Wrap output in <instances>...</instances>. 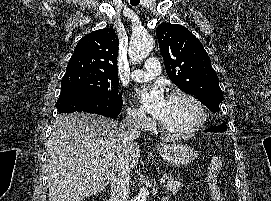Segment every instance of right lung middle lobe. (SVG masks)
Here are the masks:
<instances>
[{"instance_id": "1", "label": "right lung middle lobe", "mask_w": 271, "mask_h": 201, "mask_svg": "<svg viewBox=\"0 0 271 201\" xmlns=\"http://www.w3.org/2000/svg\"><path fill=\"white\" fill-rule=\"evenodd\" d=\"M118 75L84 70L68 71L61 81L60 96L82 95L90 98L114 99L118 93Z\"/></svg>"}]
</instances>
